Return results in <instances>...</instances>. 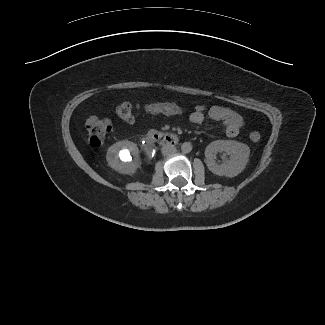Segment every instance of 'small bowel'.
<instances>
[{"label": "small bowel", "mask_w": 325, "mask_h": 325, "mask_svg": "<svg viewBox=\"0 0 325 325\" xmlns=\"http://www.w3.org/2000/svg\"><path fill=\"white\" fill-rule=\"evenodd\" d=\"M144 104L137 105L138 110L144 112ZM207 116L211 120L225 125L226 134L230 138L238 136L243 126L242 117L233 110L219 106L207 107L203 104H198L195 106L194 110L189 115V120L193 124L201 125L205 122Z\"/></svg>", "instance_id": "obj_1"}]
</instances>
